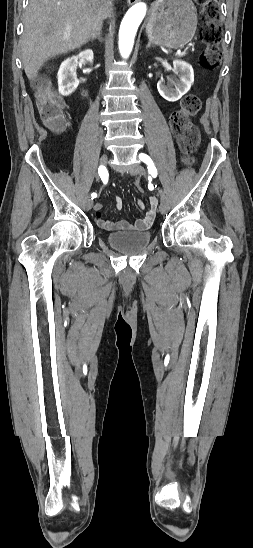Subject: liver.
<instances>
[{
    "label": "liver",
    "instance_id": "1",
    "mask_svg": "<svg viewBox=\"0 0 253 548\" xmlns=\"http://www.w3.org/2000/svg\"><path fill=\"white\" fill-rule=\"evenodd\" d=\"M106 0H29L24 15L21 56L29 80L42 65L80 48L101 30Z\"/></svg>",
    "mask_w": 253,
    "mask_h": 548
}]
</instances>
